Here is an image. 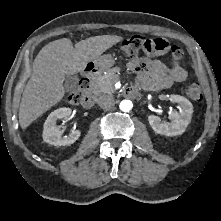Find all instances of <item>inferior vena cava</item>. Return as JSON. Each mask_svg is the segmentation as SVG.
<instances>
[{
	"label": "inferior vena cava",
	"mask_w": 221,
	"mask_h": 221,
	"mask_svg": "<svg viewBox=\"0 0 221 221\" xmlns=\"http://www.w3.org/2000/svg\"><path fill=\"white\" fill-rule=\"evenodd\" d=\"M98 105L105 110L113 108L115 105L114 98L110 95H102L98 98Z\"/></svg>",
	"instance_id": "602c4592"
}]
</instances>
